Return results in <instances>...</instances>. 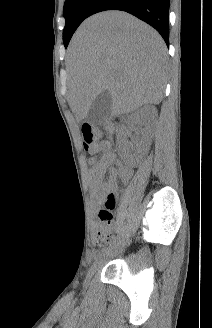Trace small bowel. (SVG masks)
Segmentation results:
<instances>
[{
    "label": "small bowel",
    "instance_id": "obj_1",
    "mask_svg": "<svg viewBox=\"0 0 212 328\" xmlns=\"http://www.w3.org/2000/svg\"><path fill=\"white\" fill-rule=\"evenodd\" d=\"M94 152L101 151L100 158L92 156L88 162L91 166L89 178L95 187L93 201L100 204L107 193L116 191V178L123 180L130 179L132 171L119 163L116 154L112 151L110 143L107 141L100 142L93 149ZM98 229L100 224L95 222Z\"/></svg>",
    "mask_w": 212,
    "mask_h": 328
}]
</instances>
